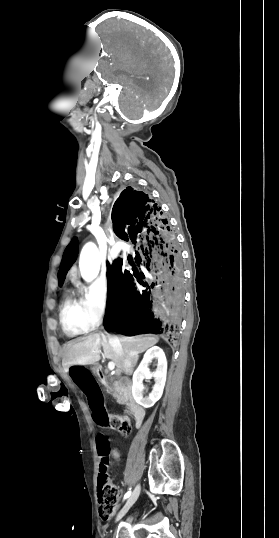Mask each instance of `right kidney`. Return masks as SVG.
I'll use <instances>...</instances> for the list:
<instances>
[{"instance_id": "ca27d5eb", "label": "right kidney", "mask_w": 279, "mask_h": 538, "mask_svg": "<svg viewBox=\"0 0 279 538\" xmlns=\"http://www.w3.org/2000/svg\"><path fill=\"white\" fill-rule=\"evenodd\" d=\"M153 358L158 360V364L155 372H150L148 366ZM166 372V356L161 348L153 346V348H150V350H147L146 354H144V358L139 368H137L136 372L133 374L132 394L137 404H140L143 408H151V406H154L155 402L160 400L166 382ZM151 378H154L155 382L153 390L149 396L144 398L143 380H151Z\"/></svg>"}]
</instances>
